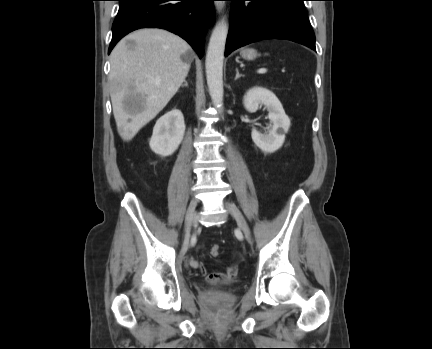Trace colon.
<instances>
[{
  "mask_svg": "<svg viewBox=\"0 0 432 349\" xmlns=\"http://www.w3.org/2000/svg\"><path fill=\"white\" fill-rule=\"evenodd\" d=\"M210 254L213 257H218L220 255V247L219 245L215 244L210 248Z\"/></svg>",
  "mask_w": 432,
  "mask_h": 349,
  "instance_id": "1",
  "label": "colon"
}]
</instances>
